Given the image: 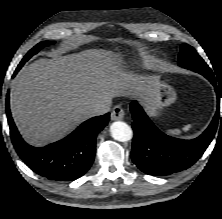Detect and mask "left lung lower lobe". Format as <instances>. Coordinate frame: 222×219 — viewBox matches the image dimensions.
<instances>
[{
	"instance_id": "left-lung-lower-lobe-1",
	"label": "left lung lower lobe",
	"mask_w": 222,
	"mask_h": 219,
	"mask_svg": "<svg viewBox=\"0 0 222 219\" xmlns=\"http://www.w3.org/2000/svg\"><path fill=\"white\" fill-rule=\"evenodd\" d=\"M197 72L213 84L218 108L209 127L195 139L182 140L164 134L151 122L137 101L131 103L134 130L131 157L142 172L149 175H170L189 168L202 156L212 141L218 125H222V117H219L222 89L217 86L211 69H200Z\"/></svg>"
}]
</instances>
